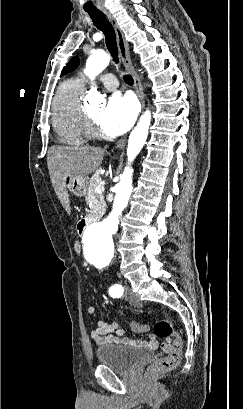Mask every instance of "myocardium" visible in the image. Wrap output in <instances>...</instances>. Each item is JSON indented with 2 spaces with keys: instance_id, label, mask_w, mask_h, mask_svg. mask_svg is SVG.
Masks as SVG:
<instances>
[{
  "instance_id": "f54148a6",
  "label": "myocardium",
  "mask_w": 243,
  "mask_h": 409,
  "mask_svg": "<svg viewBox=\"0 0 243 409\" xmlns=\"http://www.w3.org/2000/svg\"><path fill=\"white\" fill-rule=\"evenodd\" d=\"M85 116H86L89 127L90 128H95L96 127V120L86 111H85Z\"/></svg>"
}]
</instances>
